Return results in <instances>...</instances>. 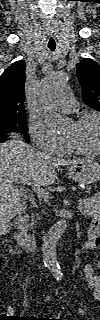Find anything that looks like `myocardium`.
I'll list each match as a JSON object with an SVG mask.
<instances>
[{
  "instance_id": "1",
  "label": "myocardium",
  "mask_w": 100,
  "mask_h": 320,
  "mask_svg": "<svg viewBox=\"0 0 100 320\" xmlns=\"http://www.w3.org/2000/svg\"><path fill=\"white\" fill-rule=\"evenodd\" d=\"M88 120H95L97 121L98 125H99V143L96 149L94 150H88V149H84L81 146H79L77 143H75L73 140L65 138V143L66 145L71 148L72 150H74V152H78L84 155H97L100 153V117L99 115L95 114V113H85L81 116H79L77 119L74 120V124L76 125H80L85 121Z\"/></svg>"
}]
</instances>
